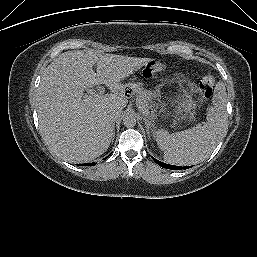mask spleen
Here are the masks:
<instances>
[{
  "instance_id": "spleen-1",
  "label": "spleen",
  "mask_w": 257,
  "mask_h": 257,
  "mask_svg": "<svg viewBox=\"0 0 257 257\" xmlns=\"http://www.w3.org/2000/svg\"><path fill=\"white\" fill-rule=\"evenodd\" d=\"M226 92L219 83L212 98L213 107L207 122L188 130L170 134L164 129L155 133L164 160L169 164L192 165L207 159L227 131Z\"/></svg>"
}]
</instances>
